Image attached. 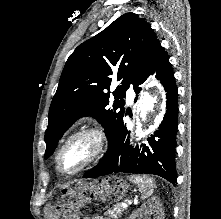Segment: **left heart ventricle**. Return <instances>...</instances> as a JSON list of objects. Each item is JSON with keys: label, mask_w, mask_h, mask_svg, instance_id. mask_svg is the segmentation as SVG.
<instances>
[{"label": "left heart ventricle", "mask_w": 221, "mask_h": 219, "mask_svg": "<svg viewBox=\"0 0 221 219\" xmlns=\"http://www.w3.org/2000/svg\"><path fill=\"white\" fill-rule=\"evenodd\" d=\"M93 148L90 138L81 137L72 141L60 158V169L70 173L78 169L89 157Z\"/></svg>", "instance_id": "obj_1"}]
</instances>
